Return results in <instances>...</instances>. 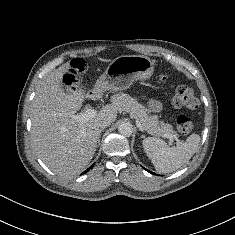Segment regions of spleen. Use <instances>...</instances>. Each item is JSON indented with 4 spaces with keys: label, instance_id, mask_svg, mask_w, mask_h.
<instances>
[{
    "label": "spleen",
    "instance_id": "1",
    "mask_svg": "<svg viewBox=\"0 0 235 235\" xmlns=\"http://www.w3.org/2000/svg\"><path fill=\"white\" fill-rule=\"evenodd\" d=\"M200 140L198 134H192L181 145L170 147L160 138L147 137L142 141V144L156 171L169 173L177 170L191 159L198 149Z\"/></svg>",
    "mask_w": 235,
    "mask_h": 235
}]
</instances>
